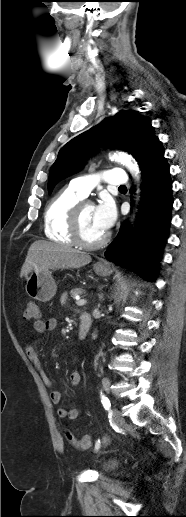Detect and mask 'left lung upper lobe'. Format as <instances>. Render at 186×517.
<instances>
[{"mask_svg":"<svg viewBox=\"0 0 186 517\" xmlns=\"http://www.w3.org/2000/svg\"><path fill=\"white\" fill-rule=\"evenodd\" d=\"M157 141L149 118L132 110L120 111L63 146L50 169L48 191L62 178L80 170L99 147L118 146L139 161Z\"/></svg>","mask_w":186,"mask_h":517,"instance_id":"1","label":"left lung upper lobe"}]
</instances>
